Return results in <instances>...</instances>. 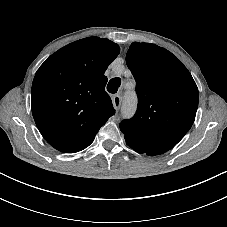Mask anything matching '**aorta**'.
I'll list each match as a JSON object with an SVG mask.
<instances>
[{
	"label": "aorta",
	"mask_w": 227,
	"mask_h": 227,
	"mask_svg": "<svg viewBox=\"0 0 227 227\" xmlns=\"http://www.w3.org/2000/svg\"><path fill=\"white\" fill-rule=\"evenodd\" d=\"M134 95L133 94H129L126 96L125 98V105L123 108V114L124 115H131L133 110H134Z\"/></svg>",
	"instance_id": "762f6f07"
}]
</instances>
